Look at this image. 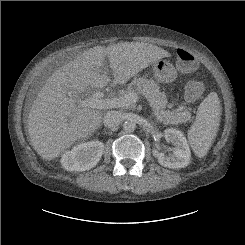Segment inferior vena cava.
Returning <instances> with one entry per match:
<instances>
[{
	"label": "inferior vena cava",
	"mask_w": 245,
	"mask_h": 245,
	"mask_svg": "<svg viewBox=\"0 0 245 245\" xmlns=\"http://www.w3.org/2000/svg\"><path fill=\"white\" fill-rule=\"evenodd\" d=\"M123 121L122 115L118 111H108L103 118L105 127L113 128L118 126Z\"/></svg>",
	"instance_id": "inferior-vena-cava-1"
}]
</instances>
